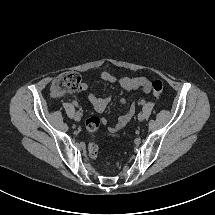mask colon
Wrapping results in <instances>:
<instances>
[{
    "mask_svg": "<svg viewBox=\"0 0 215 215\" xmlns=\"http://www.w3.org/2000/svg\"><path fill=\"white\" fill-rule=\"evenodd\" d=\"M82 89L81 77L77 72L66 71L60 73L53 81L51 92L54 96H62L65 94L75 93ZM163 83L155 80L150 84V91L154 97H159L163 93ZM98 117H91L86 121V129L88 132H95L100 126ZM88 154L91 159L96 160L98 156V146L91 142L88 146Z\"/></svg>",
    "mask_w": 215,
    "mask_h": 215,
    "instance_id": "5ec220e1",
    "label": "colon"
}]
</instances>
